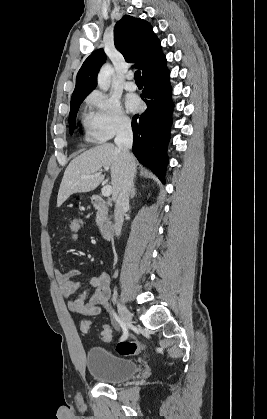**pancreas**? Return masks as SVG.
<instances>
[{
	"label": "pancreas",
	"instance_id": "cf45deb5",
	"mask_svg": "<svg viewBox=\"0 0 267 419\" xmlns=\"http://www.w3.org/2000/svg\"><path fill=\"white\" fill-rule=\"evenodd\" d=\"M96 224L97 226H101L105 221V214L102 211H97L96 213Z\"/></svg>",
	"mask_w": 267,
	"mask_h": 419
}]
</instances>
